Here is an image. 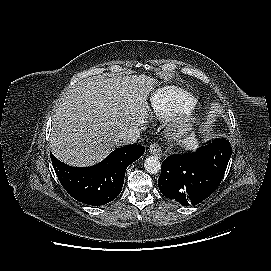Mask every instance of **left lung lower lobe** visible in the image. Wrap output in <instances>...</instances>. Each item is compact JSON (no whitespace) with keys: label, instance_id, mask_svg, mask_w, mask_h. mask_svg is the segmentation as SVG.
I'll return each instance as SVG.
<instances>
[{"label":"left lung lower lobe","instance_id":"0a47b994","mask_svg":"<svg viewBox=\"0 0 271 271\" xmlns=\"http://www.w3.org/2000/svg\"><path fill=\"white\" fill-rule=\"evenodd\" d=\"M202 148L163 161L158 186L166 198L184 206L196 205L217 189L226 169L207 160Z\"/></svg>","mask_w":271,"mask_h":271}]
</instances>
